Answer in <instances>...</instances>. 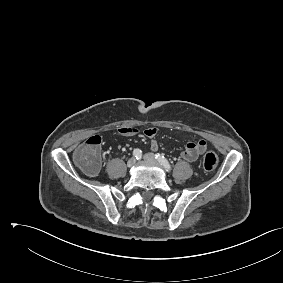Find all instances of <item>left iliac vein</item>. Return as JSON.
Listing matches in <instances>:
<instances>
[{"label":"left iliac vein","instance_id":"1","mask_svg":"<svg viewBox=\"0 0 283 283\" xmlns=\"http://www.w3.org/2000/svg\"><path fill=\"white\" fill-rule=\"evenodd\" d=\"M143 159L146 160V161H149V162H157L155 156L152 153H146L143 156Z\"/></svg>","mask_w":283,"mask_h":283}]
</instances>
